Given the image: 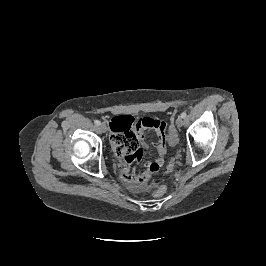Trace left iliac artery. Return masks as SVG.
<instances>
[{
  "label": "left iliac artery",
  "instance_id": "44dca946",
  "mask_svg": "<svg viewBox=\"0 0 266 266\" xmlns=\"http://www.w3.org/2000/svg\"><path fill=\"white\" fill-rule=\"evenodd\" d=\"M186 116H187L186 112L181 113L182 118H186Z\"/></svg>",
  "mask_w": 266,
  "mask_h": 266
}]
</instances>
